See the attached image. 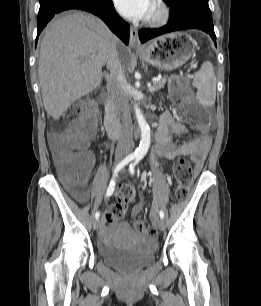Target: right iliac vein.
Returning <instances> with one entry per match:
<instances>
[{"mask_svg":"<svg viewBox=\"0 0 261 306\" xmlns=\"http://www.w3.org/2000/svg\"><path fill=\"white\" fill-rule=\"evenodd\" d=\"M100 226V220L98 219H95L94 222H93V228L94 230H97Z\"/></svg>","mask_w":261,"mask_h":306,"instance_id":"right-iliac-vein-1","label":"right iliac vein"}]
</instances>
